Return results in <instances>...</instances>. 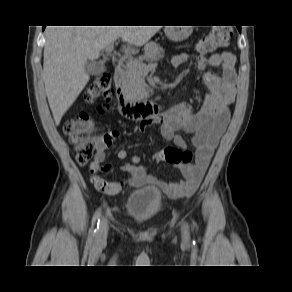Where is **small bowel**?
Instances as JSON below:
<instances>
[{
    "instance_id": "c3829d8e",
    "label": "small bowel",
    "mask_w": 292,
    "mask_h": 292,
    "mask_svg": "<svg viewBox=\"0 0 292 292\" xmlns=\"http://www.w3.org/2000/svg\"><path fill=\"white\" fill-rule=\"evenodd\" d=\"M194 60L197 70L204 71L208 66L222 67V74L206 72L203 81L209 93L206 95L200 109L194 110L188 103H182L161 112L156 118L148 122H141L138 130H144L152 125L160 126L163 139L173 142L176 146L184 148L185 140L177 132L186 131L192 135L191 141L196 151L194 164L176 165L181 173L182 180L176 183H167L147 172L140 165V155L130 157V162L122 165L121 170L128 175L127 183L135 188L145 185H156L171 198H188L197 190L210 163L213 152L224 134L229 119V105L235 100L237 74L236 57L228 51L214 53L209 57L196 55L193 58L187 53L175 55L172 66L178 68L190 60ZM119 137L118 131H109L93 137L96 153L95 163L103 172L111 170L110 164L101 165L105 158L106 149ZM120 160L129 158L125 149L117 153ZM123 182H114L111 194H117Z\"/></svg>"
}]
</instances>
